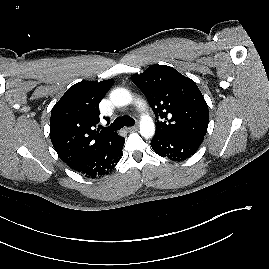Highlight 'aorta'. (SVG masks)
Segmentation results:
<instances>
[{"label": "aorta", "mask_w": 269, "mask_h": 269, "mask_svg": "<svg viewBox=\"0 0 269 269\" xmlns=\"http://www.w3.org/2000/svg\"><path fill=\"white\" fill-rule=\"evenodd\" d=\"M110 100L115 106H126L132 102V96L127 89L117 88L110 93ZM155 133V124L149 115H143L140 120V134L148 139Z\"/></svg>", "instance_id": "aorta-1"}]
</instances>
